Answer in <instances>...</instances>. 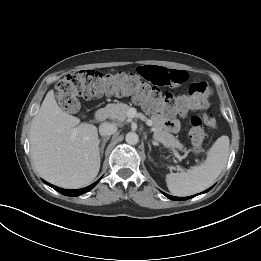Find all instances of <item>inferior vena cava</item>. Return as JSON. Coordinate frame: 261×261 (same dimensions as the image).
I'll return each instance as SVG.
<instances>
[{
    "label": "inferior vena cava",
    "instance_id": "obj_1",
    "mask_svg": "<svg viewBox=\"0 0 261 261\" xmlns=\"http://www.w3.org/2000/svg\"><path fill=\"white\" fill-rule=\"evenodd\" d=\"M117 131V126L113 123L104 122L99 127V133L103 137H108Z\"/></svg>",
    "mask_w": 261,
    "mask_h": 261
}]
</instances>
